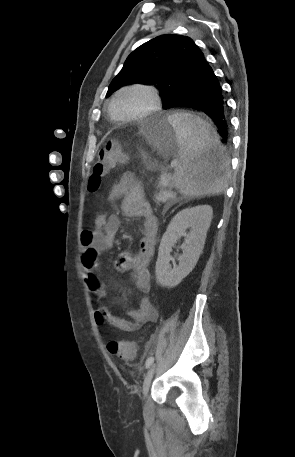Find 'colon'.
Masks as SVG:
<instances>
[{
  "instance_id": "5ec220e1",
  "label": "colon",
  "mask_w": 295,
  "mask_h": 457,
  "mask_svg": "<svg viewBox=\"0 0 295 457\" xmlns=\"http://www.w3.org/2000/svg\"><path fill=\"white\" fill-rule=\"evenodd\" d=\"M127 161L121 144L117 140H109L98 153L97 161L94 164L93 172L89 179V189L92 192L100 189L107 174L123 165ZM96 320L101 323L102 317L96 312ZM105 349L110 355H118L125 360H132L136 352V344L133 341H106Z\"/></svg>"
}]
</instances>
